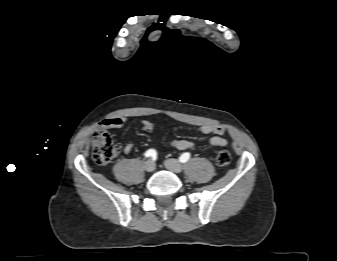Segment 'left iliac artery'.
I'll use <instances>...</instances> for the list:
<instances>
[{
  "label": "left iliac artery",
  "mask_w": 337,
  "mask_h": 261,
  "mask_svg": "<svg viewBox=\"0 0 337 261\" xmlns=\"http://www.w3.org/2000/svg\"><path fill=\"white\" fill-rule=\"evenodd\" d=\"M190 156L191 155H190L189 152H185L180 156L179 160H180V162L185 163L189 160Z\"/></svg>",
  "instance_id": "1"
}]
</instances>
